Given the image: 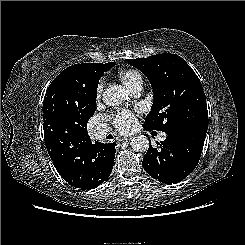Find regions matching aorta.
<instances>
[{
	"label": "aorta",
	"mask_w": 245,
	"mask_h": 245,
	"mask_svg": "<svg viewBox=\"0 0 245 245\" xmlns=\"http://www.w3.org/2000/svg\"><path fill=\"white\" fill-rule=\"evenodd\" d=\"M127 98L126 90L121 85H112L103 93V102L108 106H118ZM131 148L134 151H147L149 148V140L144 135H137L131 140Z\"/></svg>",
	"instance_id": "obj_1"
}]
</instances>
